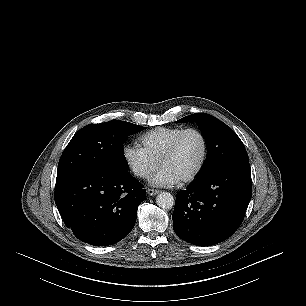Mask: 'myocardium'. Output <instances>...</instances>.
I'll use <instances>...</instances> for the list:
<instances>
[{
    "label": "myocardium",
    "mask_w": 306,
    "mask_h": 306,
    "mask_svg": "<svg viewBox=\"0 0 306 306\" xmlns=\"http://www.w3.org/2000/svg\"><path fill=\"white\" fill-rule=\"evenodd\" d=\"M190 132H194L198 134L199 137L201 138L202 144H203V152H202V156H201L198 166L195 168V170L190 175L180 180L181 183H189L195 180L199 176V174L202 172L205 166V163L208 157V149H209L208 140L205 134L200 129L195 128V127H189V128L183 129L176 136V138L172 141V143L170 144V146L168 147V149L165 151L162 158L160 159V166H162L168 159H170L176 153L181 140L186 134Z\"/></svg>",
    "instance_id": "1"
}]
</instances>
